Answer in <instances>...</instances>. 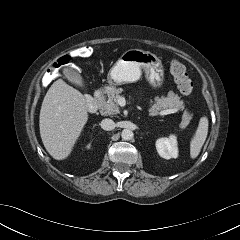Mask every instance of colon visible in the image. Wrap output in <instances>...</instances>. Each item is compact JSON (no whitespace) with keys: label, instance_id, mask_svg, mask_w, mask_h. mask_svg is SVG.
I'll return each instance as SVG.
<instances>
[{"label":"colon","instance_id":"obj_1","mask_svg":"<svg viewBox=\"0 0 240 240\" xmlns=\"http://www.w3.org/2000/svg\"><path fill=\"white\" fill-rule=\"evenodd\" d=\"M92 49L91 47L83 46L75 49L70 54L60 57L54 64L55 68H61L63 66L69 65L73 58H87L91 56ZM170 72L173 76V79L179 89V91L185 95H191L193 91V83L190 80L186 67L183 63L178 60H172L170 63Z\"/></svg>","mask_w":240,"mask_h":240}]
</instances>
